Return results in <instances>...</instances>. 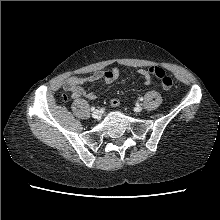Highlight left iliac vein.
I'll list each match as a JSON object with an SVG mask.
<instances>
[{
	"instance_id": "left-iliac-vein-1",
	"label": "left iliac vein",
	"mask_w": 220,
	"mask_h": 220,
	"mask_svg": "<svg viewBox=\"0 0 220 220\" xmlns=\"http://www.w3.org/2000/svg\"><path fill=\"white\" fill-rule=\"evenodd\" d=\"M135 112H141L142 111V107L140 105H136L134 108Z\"/></svg>"
}]
</instances>
